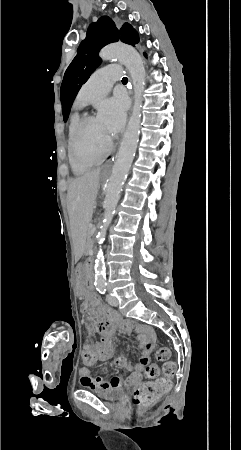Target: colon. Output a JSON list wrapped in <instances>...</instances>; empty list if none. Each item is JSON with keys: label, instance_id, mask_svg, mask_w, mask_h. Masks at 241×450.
<instances>
[{"label": "colon", "instance_id": "colon-1", "mask_svg": "<svg viewBox=\"0 0 241 450\" xmlns=\"http://www.w3.org/2000/svg\"><path fill=\"white\" fill-rule=\"evenodd\" d=\"M170 351L166 347H160L157 351L159 360H166L169 358ZM81 357L84 359V366H97L98 359L95 357V352L91 345H86L81 352ZM166 375H171L175 369V363L172 360L167 361L163 366ZM159 374V368L156 364L148 365L144 370L146 379H153ZM169 389V381L167 376L159 378L153 382L141 385L133 394V406L137 410H146L151 408L160 397Z\"/></svg>", "mask_w": 241, "mask_h": 450}]
</instances>
